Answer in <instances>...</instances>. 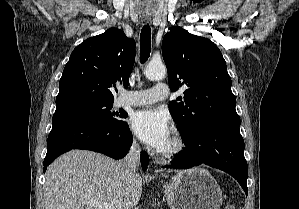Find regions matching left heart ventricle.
I'll return each instance as SVG.
<instances>
[{
    "label": "left heart ventricle",
    "instance_id": "obj_1",
    "mask_svg": "<svg viewBox=\"0 0 299 209\" xmlns=\"http://www.w3.org/2000/svg\"><path fill=\"white\" fill-rule=\"evenodd\" d=\"M171 144V137L168 139V141L165 143V145L161 149H166L170 146Z\"/></svg>",
    "mask_w": 299,
    "mask_h": 209
}]
</instances>
